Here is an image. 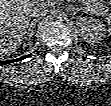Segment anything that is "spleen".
Instances as JSON below:
<instances>
[{
    "label": "spleen",
    "mask_w": 111,
    "mask_h": 106,
    "mask_svg": "<svg viewBox=\"0 0 111 106\" xmlns=\"http://www.w3.org/2000/svg\"><path fill=\"white\" fill-rule=\"evenodd\" d=\"M109 27H108V32L111 34V22H108Z\"/></svg>",
    "instance_id": "3e777b00"
}]
</instances>
